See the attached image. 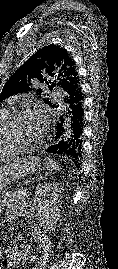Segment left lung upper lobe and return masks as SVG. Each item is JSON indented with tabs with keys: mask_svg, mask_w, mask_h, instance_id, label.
<instances>
[{
	"mask_svg": "<svg viewBox=\"0 0 118 269\" xmlns=\"http://www.w3.org/2000/svg\"><path fill=\"white\" fill-rule=\"evenodd\" d=\"M39 82L46 83L50 90L58 85L66 94L80 87L75 62L64 48L50 44L33 54L5 83L0 102L14 94L35 90L33 87ZM35 91L40 94L42 89ZM43 100L55 107L49 97Z\"/></svg>",
	"mask_w": 118,
	"mask_h": 269,
	"instance_id": "left-lung-upper-lobe-1",
	"label": "left lung upper lobe"
}]
</instances>
